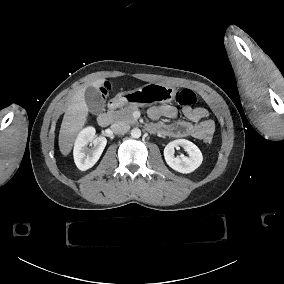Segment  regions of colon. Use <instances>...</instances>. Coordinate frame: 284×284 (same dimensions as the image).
I'll list each match as a JSON object with an SVG mask.
<instances>
[{"label":"colon","instance_id":"5ec220e1","mask_svg":"<svg viewBox=\"0 0 284 284\" xmlns=\"http://www.w3.org/2000/svg\"><path fill=\"white\" fill-rule=\"evenodd\" d=\"M176 100L179 105L183 107H189L194 104L196 100V95L193 90L189 88H183L178 91L176 95ZM206 142H211V137H206L205 138Z\"/></svg>","mask_w":284,"mask_h":284}]
</instances>
